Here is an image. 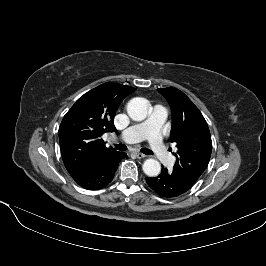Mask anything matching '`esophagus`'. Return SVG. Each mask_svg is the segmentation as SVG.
<instances>
[{
  "label": "esophagus",
  "mask_w": 266,
  "mask_h": 266,
  "mask_svg": "<svg viewBox=\"0 0 266 266\" xmlns=\"http://www.w3.org/2000/svg\"><path fill=\"white\" fill-rule=\"evenodd\" d=\"M134 155L136 158L138 159H142V158H145L146 156L142 153H139V152H134Z\"/></svg>",
  "instance_id": "1"
}]
</instances>
